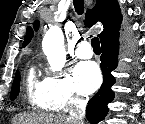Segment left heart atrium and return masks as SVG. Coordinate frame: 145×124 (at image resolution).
<instances>
[{"mask_svg": "<svg viewBox=\"0 0 145 124\" xmlns=\"http://www.w3.org/2000/svg\"><path fill=\"white\" fill-rule=\"evenodd\" d=\"M76 76L80 88L86 93L95 91L101 83V73L94 62L80 63L76 67Z\"/></svg>", "mask_w": 145, "mask_h": 124, "instance_id": "obj_1", "label": "left heart atrium"}]
</instances>
